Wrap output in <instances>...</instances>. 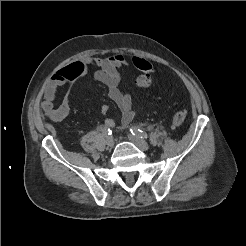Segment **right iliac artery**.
<instances>
[{"label": "right iliac artery", "instance_id": "right-iliac-artery-1", "mask_svg": "<svg viewBox=\"0 0 246 246\" xmlns=\"http://www.w3.org/2000/svg\"><path fill=\"white\" fill-rule=\"evenodd\" d=\"M103 134H104L105 137H108V136H110L112 134V131L110 130L109 127L105 126L103 128Z\"/></svg>", "mask_w": 246, "mask_h": 246}]
</instances>
